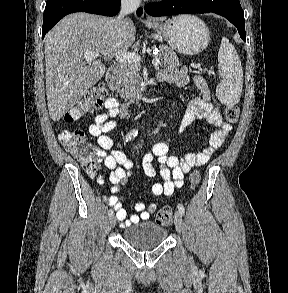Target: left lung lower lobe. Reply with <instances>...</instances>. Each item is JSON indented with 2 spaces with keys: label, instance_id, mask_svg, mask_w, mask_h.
<instances>
[{
  "label": "left lung lower lobe",
  "instance_id": "obj_1",
  "mask_svg": "<svg viewBox=\"0 0 288 293\" xmlns=\"http://www.w3.org/2000/svg\"><path fill=\"white\" fill-rule=\"evenodd\" d=\"M145 11L151 16L213 12L234 24L240 37L246 41L244 14L239 0H163L145 5Z\"/></svg>",
  "mask_w": 288,
  "mask_h": 293
}]
</instances>
